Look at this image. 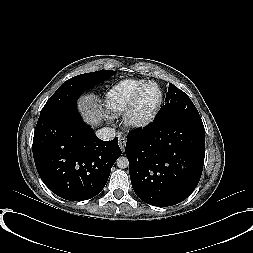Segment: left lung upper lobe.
Returning <instances> with one entry per match:
<instances>
[{
  "mask_svg": "<svg viewBox=\"0 0 253 253\" xmlns=\"http://www.w3.org/2000/svg\"><path fill=\"white\" fill-rule=\"evenodd\" d=\"M180 116H199V113L191 99L182 90L169 83L165 105L160 108L154 120Z\"/></svg>",
  "mask_w": 253,
  "mask_h": 253,
  "instance_id": "left-lung-upper-lobe-1",
  "label": "left lung upper lobe"
}]
</instances>
